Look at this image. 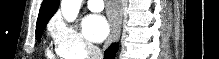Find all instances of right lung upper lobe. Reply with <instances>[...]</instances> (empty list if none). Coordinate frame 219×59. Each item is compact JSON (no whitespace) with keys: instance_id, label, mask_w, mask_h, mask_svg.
Returning a JSON list of instances; mask_svg holds the SVG:
<instances>
[{"instance_id":"cb5924a9","label":"right lung upper lobe","mask_w":219,"mask_h":59,"mask_svg":"<svg viewBox=\"0 0 219 59\" xmlns=\"http://www.w3.org/2000/svg\"><path fill=\"white\" fill-rule=\"evenodd\" d=\"M59 0H43L39 10L36 29L46 26L59 7Z\"/></svg>"}]
</instances>
